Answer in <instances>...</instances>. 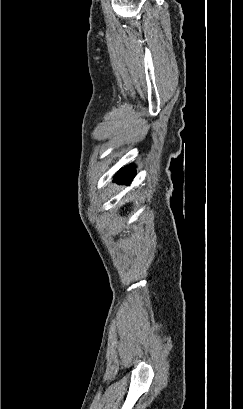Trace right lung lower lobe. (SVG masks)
I'll return each mask as SVG.
<instances>
[{
	"instance_id": "right-lung-lower-lobe-1",
	"label": "right lung lower lobe",
	"mask_w": 243,
	"mask_h": 409,
	"mask_svg": "<svg viewBox=\"0 0 243 409\" xmlns=\"http://www.w3.org/2000/svg\"><path fill=\"white\" fill-rule=\"evenodd\" d=\"M134 165H130V167H124L122 168L116 175L114 180L117 181L118 183L124 184H129V182L133 179L136 171L134 169Z\"/></svg>"
}]
</instances>
